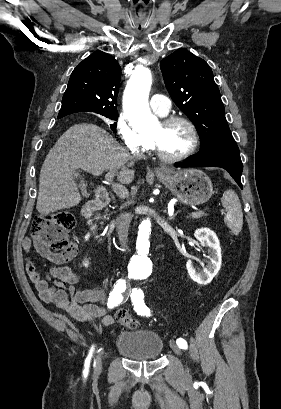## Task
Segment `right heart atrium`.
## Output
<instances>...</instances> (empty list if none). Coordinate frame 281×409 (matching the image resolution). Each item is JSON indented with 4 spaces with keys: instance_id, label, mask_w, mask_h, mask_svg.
Instances as JSON below:
<instances>
[{
    "instance_id": "obj_1",
    "label": "right heart atrium",
    "mask_w": 281,
    "mask_h": 409,
    "mask_svg": "<svg viewBox=\"0 0 281 409\" xmlns=\"http://www.w3.org/2000/svg\"><path fill=\"white\" fill-rule=\"evenodd\" d=\"M129 116L138 115H118L115 121V128L122 145L126 149L134 150L141 145L142 137L137 134L134 124L128 118Z\"/></svg>"
}]
</instances>
